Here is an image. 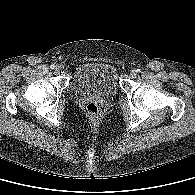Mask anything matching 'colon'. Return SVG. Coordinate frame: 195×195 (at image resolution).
<instances>
[{"instance_id":"5ec220e1","label":"colon","mask_w":195,"mask_h":195,"mask_svg":"<svg viewBox=\"0 0 195 195\" xmlns=\"http://www.w3.org/2000/svg\"><path fill=\"white\" fill-rule=\"evenodd\" d=\"M86 113L90 118L96 119L100 115V108L95 102H89L86 105Z\"/></svg>"}]
</instances>
